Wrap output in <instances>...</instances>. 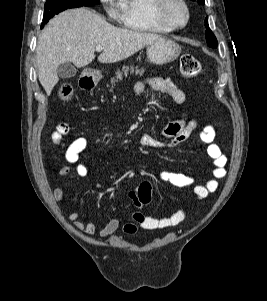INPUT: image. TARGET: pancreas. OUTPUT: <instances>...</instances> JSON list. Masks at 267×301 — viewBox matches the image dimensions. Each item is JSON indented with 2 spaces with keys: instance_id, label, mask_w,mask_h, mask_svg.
Here are the masks:
<instances>
[{
  "instance_id": "pancreas-1",
  "label": "pancreas",
  "mask_w": 267,
  "mask_h": 301,
  "mask_svg": "<svg viewBox=\"0 0 267 301\" xmlns=\"http://www.w3.org/2000/svg\"><path fill=\"white\" fill-rule=\"evenodd\" d=\"M128 72H130L131 74L135 73L136 75H138V74L142 75L144 73V69L143 68L139 69L138 67H133V66H130V67L124 66L121 71L118 70L116 72V78L111 79V84H112L111 88H113L115 86V82H117L118 80H121L123 75L126 76L128 74Z\"/></svg>"
}]
</instances>
